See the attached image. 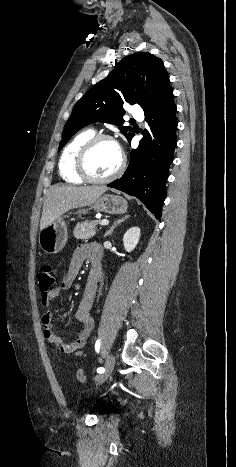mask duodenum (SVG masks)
<instances>
[{
  "label": "duodenum",
  "mask_w": 236,
  "mask_h": 467,
  "mask_svg": "<svg viewBox=\"0 0 236 467\" xmlns=\"http://www.w3.org/2000/svg\"><path fill=\"white\" fill-rule=\"evenodd\" d=\"M98 273L95 267L91 268L89 277L92 281H95L97 279Z\"/></svg>",
  "instance_id": "410a0bca"
}]
</instances>
